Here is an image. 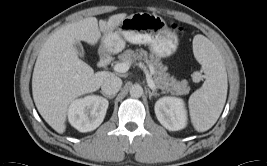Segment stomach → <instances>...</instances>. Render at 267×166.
Returning a JSON list of instances; mask_svg holds the SVG:
<instances>
[{
  "label": "stomach",
  "mask_w": 267,
  "mask_h": 166,
  "mask_svg": "<svg viewBox=\"0 0 267 166\" xmlns=\"http://www.w3.org/2000/svg\"><path fill=\"white\" fill-rule=\"evenodd\" d=\"M125 41L148 45L150 51L160 58L172 55L178 47V38L164 19L144 12L127 16L115 31L104 33L101 47L105 51L118 53L124 49Z\"/></svg>",
  "instance_id": "1"
}]
</instances>
